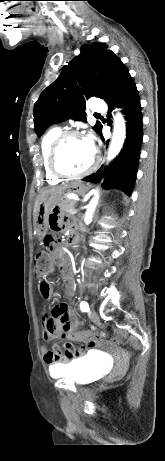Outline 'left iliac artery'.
I'll return each instance as SVG.
<instances>
[{
	"label": "left iliac artery",
	"instance_id": "1",
	"mask_svg": "<svg viewBox=\"0 0 165 461\" xmlns=\"http://www.w3.org/2000/svg\"><path fill=\"white\" fill-rule=\"evenodd\" d=\"M80 309H81V311H83V312H88V311H89V305H88V303L85 302V301L81 302V304H80Z\"/></svg>",
	"mask_w": 165,
	"mask_h": 461
}]
</instances>
